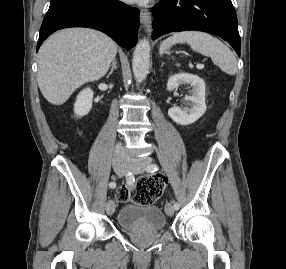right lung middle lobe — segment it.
<instances>
[{
	"mask_svg": "<svg viewBox=\"0 0 286 269\" xmlns=\"http://www.w3.org/2000/svg\"><path fill=\"white\" fill-rule=\"evenodd\" d=\"M61 1H64V0H51L50 5L59 3V2H61ZM104 1H113V0H104Z\"/></svg>",
	"mask_w": 286,
	"mask_h": 269,
	"instance_id": "obj_1",
	"label": "right lung middle lobe"
}]
</instances>
